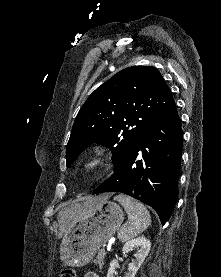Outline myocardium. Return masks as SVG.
Segmentation results:
<instances>
[{
	"label": "myocardium",
	"instance_id": "myocardium-1",
	"mask_svg": "<svg viewBox=\"0 0 221 277\" xmlns=\"http://www.w3.org/2000/svg\"><path fill=\"white\" fill-rule=\"evenodd\" d=\"M109 162V156L102 151H96L87 157L82 163V172L92 175L102 170Z\"/></svg>",
	"mask_w": 221,
	"mask_h": 277
}]
</instances>
